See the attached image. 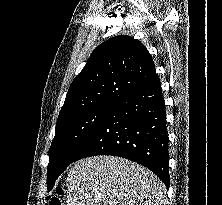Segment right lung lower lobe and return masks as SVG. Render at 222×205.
Returning <instances> with one entry per match:
<instances>
[{"label": "right lung lower lobe", "instance_id": "98d812e1", "mask_svg": "<svg viewBox=\"0 0 222 205\" xmlns=\"http://www.w3.org/2000/svg\"><path fill=\"white\" fill-rule=\"evenodd\" d=\"M165 104L157 78L122 98L104 117L73 162L96 155L135 161L169 186L168 133Z\"/></svg>", "mask_w": 222, "mask_h": 205}]
</instances>
